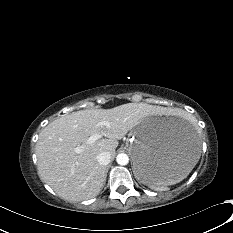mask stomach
Listing matches in <instances>:
<instances>
[{
	"instance_id": "obj_1",
	"label": "stomach",
	"mask_w": 233,
	"mask_h": 233,
	"mask_svg": "<svg viewBox=\"0 0 233 233\" xmlns=\"http://www.w3.org/2000/svg\"><path fill=\"white\" fill-rule=\"evenodd\" d=\"M129 137L134 174L147 185L180 181L200 157L194 129L180 118H147L133 127Z\"/></svg>"
}]
</instances>
